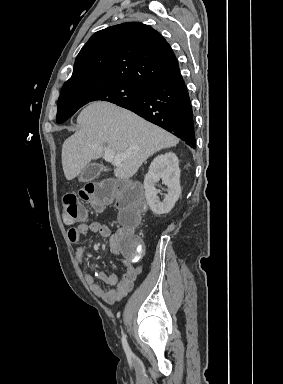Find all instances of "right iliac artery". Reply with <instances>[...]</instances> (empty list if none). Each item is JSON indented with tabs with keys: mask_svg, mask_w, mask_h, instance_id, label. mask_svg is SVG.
Masks as SVG:
<instances>
[{
	"mask_svg": "<svg viewBox=\"0 0 283 384\" xmlns=\"http://www.w3.org/2000/svg\"><path fill=\"white\" fill-rule=\"evenodd\" d=\"M122 345L124 348V351L128 357L132 356V351L127 343L126 335L122 333Z\"/></svg>",
	"mask_w": 283,
	"mask_h": 384,
	"instance_id": "right-iliac-artery-1",
	"label": "right iliac artery"
}]
</instances>
